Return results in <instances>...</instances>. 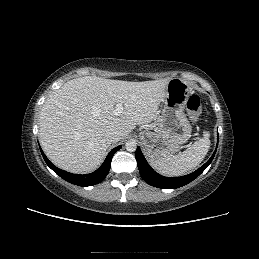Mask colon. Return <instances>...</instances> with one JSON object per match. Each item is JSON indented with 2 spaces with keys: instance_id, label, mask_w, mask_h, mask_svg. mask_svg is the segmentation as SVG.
I'll use <instances>...</instances> for the list:
<instances>
[{
  "instance_id": "1",
  "label": "colon",
  "mask_w": 259,
  "mask_h": 259,
  "mask_svg": "<svg viewBox=\"0 0 259 259\" xmlns=\"http://www.w3.org/2000/svg\"><path fill=\"white\" fill-rule=\"evenodd\" d=\"M186 108L193 121H198L201 115V101L197 95H191L186 102Z\"/></svg>"
}]
</instances>
